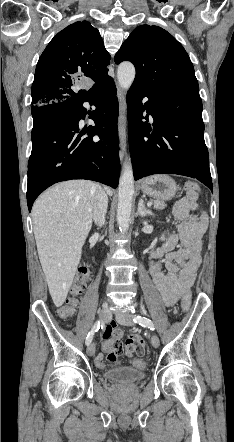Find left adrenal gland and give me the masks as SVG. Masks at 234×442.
<instances>
[{
    "label": "left adrenal gland",
    "mask_w": 234,
    "mask_h": 442,
    "mask_svg": "<svg viewBox=\"0 0 234 442\" xmlns=\"http://www.w3.org/2000/svg\"><path fill=\"white\" fill-rule=\"evenodd\" d=\"M138 215L141 217H145L147 215H153L152 211L145 207V204L142 199L139 200L138 203Z\"/></svg>",
    "instance_id": "a2214340"
}]
</instances>
